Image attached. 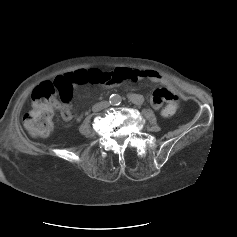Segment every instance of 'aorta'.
I'll use <instances>...</instances> for the list:
<instances>
[{
    "label": "aorta",
    "mask_w": 237,
    "mask_h": 237,
    "mask_svg": "<svg viewBox=\"0 0 237 237\" xmlns=\"http://www.w3.org/2000/svg\"><path fill=\"white\" fill-rule=\"evenodd\" d=\"M121 100L122 99H121L120 95H118V94H112L109 99V101L112 105H119L121 103Z\"/></svg>",
    "instance_id": "obj_1"
}]
</instances>
